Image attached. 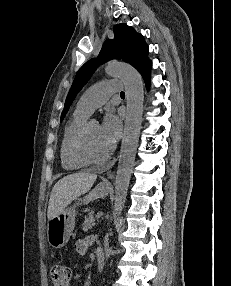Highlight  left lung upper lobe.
Wrapping results in <instances>:
<instances>
[{
  "label": "left lung upper lobe",
  "mask_w": 231,
  "mask_h": 286,
  "mask_svg": "<svg viewBox=\"0 0 231 286\" xmlns=\"http://www.w3.org/2000/svg\"><path fill=\"white\" fill-rule=\"evenodd\" d=\"M148 46L141 34L125 24H117L114 27V39L106 40L97 59L86 62L77 72L71 89L65 101L61 114L64 119L77 93L90 79L97 66L113 58L122 59L131 64L138 71L149 62L147 58Z\"/></svg>",
  "instance_id": "left-lung-upper-lobe-1"
}]
</instances>
